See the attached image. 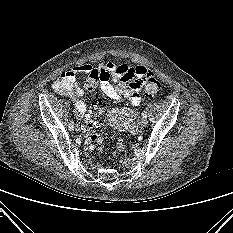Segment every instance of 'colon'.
Here are the masks:
<instances>
[{"mask_svg":"<svg viewBox=\"0 0 233 233\" xmlns=\"http://www.w3.org/2000/svg\"><path fill=\"white\" fill-rule=\"evenodd\" d=\"M109 79V75L103 70L94 68L89 74L85 81V88L94 92L97 87L103 81H107ZM69 87V83L66 77L62 74L60 78L55 82L54 88L57 91L66 90ZM160 89V83L154 77L150 76L145 79V93L147 96L153 98L155 97ZM98 108L93 107L92 111H90L86 117L83 124V131L85 138L89 144V149L91 151H96L100 149V138L96 133V127L98 126ZM125 148V145L122 141H119L116 145V153L122 152Z\"/></svg>","mask_w":233,"mask_h":233,"instance_id":"obj_1","label":"colon"}]
</instances>
